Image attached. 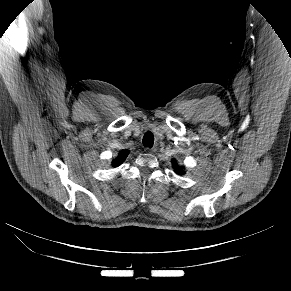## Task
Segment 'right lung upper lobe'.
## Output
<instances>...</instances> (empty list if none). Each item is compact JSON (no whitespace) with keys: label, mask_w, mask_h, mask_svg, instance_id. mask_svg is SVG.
<instances>
[{"label":"right lung upper lobe","mask_w":291,"mask_h":291,"mask_svg":"<svg viewBox=\"0 0 291 291\" xmlns=\"http://www.w3.org/2000/svg\"><path fill=\"white\" fill-rule=\"evenodd\" d=\"M128 154H129L128 150H122L119 153L118 157L113 160V163H112L113 167H118L125 160Z\"/></svg>","instance_id":"cb5924a9"}]
</instances>
